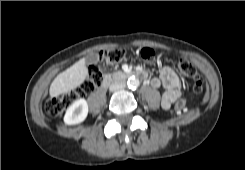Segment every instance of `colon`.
Segmentation results:
<instances>
[{
  "label": "colon",
  "mask_w": 245,
  "mask_h": 170,
  "mask_svg": "<svg viewBox=\"0 0 245 170\" xmlns=\"http://www.w3.org/2000/svg\"><path fill=\"white\" fill-rule=\"evenodd\" d=\"M142 58L151 60L154 57V52L149 48H144L140 51ZM125 56V51L122 49H111L101 51L98 54L99 65L97 68H92L89 71L88 79L79 87L68 91L58 97H54L47 101L46 111L50 116H60L65 109L76 100L84 97L88 92L98 87L102 81V72L109 70L111 67L118 64ZM178 68L182 75L192 79L193 92L200 94L203 91V81L197 73L194 65L187 59L181 58L178 61ZM186 105L184 99H179L175 103L177 110H182Z\"/></svg>",
  "instance_id": "obj_1"
}]
</instances>
